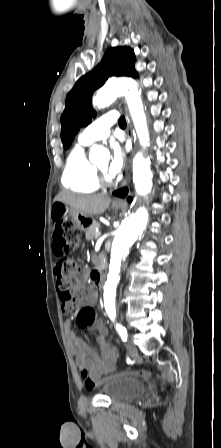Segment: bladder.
I'll list each match as a JSON object with an SVG mask.
<instances>
[{"mask_svg":"<svg viewBox=\"0 0 221 448\" xmlns=\"http://www.w3.org/2000/svg\"><path fill=\"white\" fill-rule=\"evenodd\" d=\"M101 390L113 402L132 400L144 392V383L137 377L112 376L103 382Z\"/></svg>","mask_w":221,"mask_h":448,"instance_id":"1","label":"bladder"}]
</instances>
